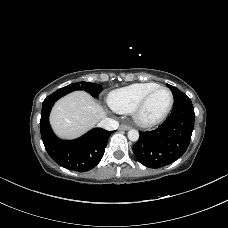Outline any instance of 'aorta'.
<instances>
[{
	"instance_id": "762f6f07",
	"label": "aorta",
	"mask_w": 228,
	"mask_h": 228,
	"mask_svg": "<svg viewBox=\"0 0 228 228\" xmlns=\"http://www.w3.org/2000/svg\"><path fill=\"white\" fill-rule=\"evenodd\" d=\"M128 138H129L130 141H133V142L138 141V139H139L138 131L135 130V129L129 130L128 131Z\"/></svg>"
}]
</instances>
